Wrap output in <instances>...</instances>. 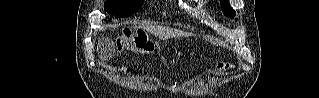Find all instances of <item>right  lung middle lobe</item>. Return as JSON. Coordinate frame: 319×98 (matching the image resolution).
Wrapping results in <instances>:
<instances>
[{"instance_id": "obj_1", "label": "right lung middle lobe", "mask_w": 319, "mask_h": 98, "mask_svg": "<svg viewBox=\"0 0 319 98\" xmlns=\"http://www.w3.org/2000/svg\"><path fill=\"white\" fill-rule=\"evenodd\" d=\"M143 1L139 0H106L104 10L117 18L127 17L135 13Z\"/></svg>"}]
</instances>
